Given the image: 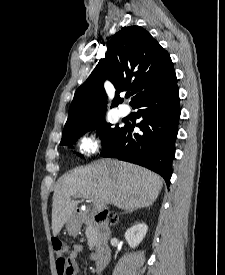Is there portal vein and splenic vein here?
Returning <instances> with one entry per match:
<instances>
[{
    "label": "portal vein and splenic vein",
    "instance_id": "obj_1",
    "mask_svg": "<svg viewBox=\"0 0 225 275\" xmlns=\"http://www.w3.org/2000/svg\"><path fill=\"white\" fill-rule=\"evenodd\" d=\"M94 205L99 210L102 209V207L104 206L103 203L100 200L96 199V198H94Z\"/></svg>",
    "mask_w": 225,
    "mask_h": 275
}]
</instances>
